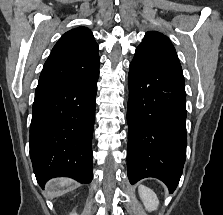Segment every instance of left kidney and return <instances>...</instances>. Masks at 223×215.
Returning <instances> with one entry per match:
<instances>
[{
	"label": "left kidney",
	"mask_w": 223,
	"mask_h": 215,
	"mask_svg": "<svg viewBox=\"0 0 223 215\" xmlns=\"http://www.w3.org/2000/svg\"><path fill=\"white\" fill-rule=\"evenodd\" d=\"M138 191L148 211H153V209H157V205H159V199L155 191H152V189H150V187H146V185H139Z\"/></svg>",
	"instance_id": "5707ae66"
}]
</instances>
